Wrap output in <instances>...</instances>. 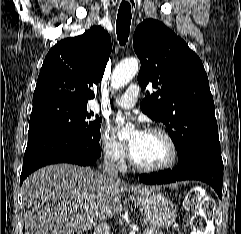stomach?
<instances>
[{
	"mask_svg": "<svg viewBox=\"0 0 241 234\" xmlns=\"http://www.w3.org/2000/svg\"><path fill=\"white\" fill-rule=\"evenodd\" d=\"M135 205L144 218L155 228L170 226L176 218V205L161 193L149 191L134 196Z\"/></svg>",
	"mask_w": 241,
	"mask_h": 234,
	"instance_id": "1",
	"label": "stomach"
}]
</instances>
